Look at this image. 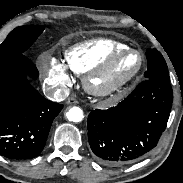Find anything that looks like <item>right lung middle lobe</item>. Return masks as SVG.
Instances as JSON below:
<instances>
[{
    "mask_svg": "<svg viewBox=\"0 0 183 183\" xmlns=\"http://www.w3.org/2000/svg\"><path fill=\"white\" fill-rule=\"evenodd\" d=\"M44 30V26L26 25L15 28L0 44V61L24 54Z\"/></svg>",
    "mask_w": 183,
    "mask_h": 183,
    "instance_id": "dd1d6c3e",
    "label": "right lung middle lobe"
}]
</instances>
